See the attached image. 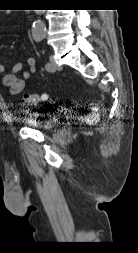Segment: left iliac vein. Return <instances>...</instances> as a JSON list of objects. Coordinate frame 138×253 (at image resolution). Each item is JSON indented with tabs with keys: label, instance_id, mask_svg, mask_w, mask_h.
<instances>
[{
	"label": "left iliac vein",
	"instance_id": "1",
	"mask_svg": "<svg viewBox=\"0 0 138 253\" xmlns=\"http://www.w3.org/2000/svg\"><path fill=\"white\" fill-rule=\"evenodd\" d=\"M50 65L52 67L51 70H53V71H56V70L60 69V67L55 62V59L53 58V56H50Z\"/></svg>",
	"mask_w": 138,
	"mask_h": 253
}]
</instances>
